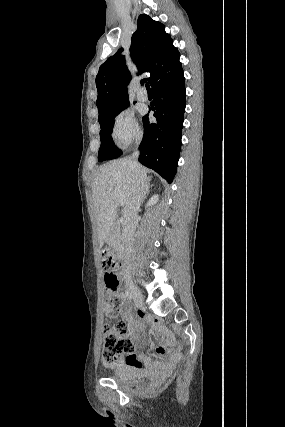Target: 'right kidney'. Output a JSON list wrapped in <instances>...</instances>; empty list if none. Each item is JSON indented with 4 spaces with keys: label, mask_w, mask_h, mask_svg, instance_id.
Listing matches in <instances>:
<instances>
[{
    "label": "right kidney",
    "mask_w": 285,
    "mask_h": 427,
    "mask_svg": "<svg viewBox=\"0 0 285 427\" xmlns=\"http://www.w3.org/2000/svg\"><path fill=\"white\" fill-rule=\"evenodd\" d=\"M158 199H159V196H158V195H154V196H152V197L150 198V200L148 201V203H147V207H148V206H152V205L156 204V203H157V201H158Z\"/></svg>",
    "instance_id": "ca27d5eb"
}]
</instances>
